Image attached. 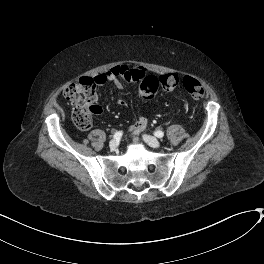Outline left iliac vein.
Wrapping results in <instances>:
<instances>
[{
    "label": "left iliac vein",
    "instance_id": "4c4485c4",
    "mask_svg": "<svg viewBox=\"0 0 264 264\" xmlns=\"http://www.w3.org/2000/svg\"><path fill=\"white\" fill-rule=\"evenodd\" d=\"M143 139L149 146L153 148L161 147V142L155 137L149 135H143Z\"/></svg>",
    "mask_w": 264,
    "mask_h": 264
}]
</instances>
